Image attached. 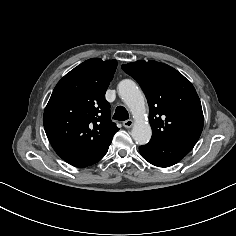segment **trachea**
I'll return each instance as SVG.
<instances>
[{"instance_id":"3493384b","label":"trachea","mask_w":236,"mask_h":236,"mask_svg":"<svg viewBox=\"0 0 236 236\" xmlns=\"http://www.w3.org/2000/svg\"><path fill=\"white\" fill-rule=\"evenodd\" d=\"M128 118H129V114L126 108L123 106H118L113 115V119L118 120V121H125Z\"/></svg>"}]
</instances>
